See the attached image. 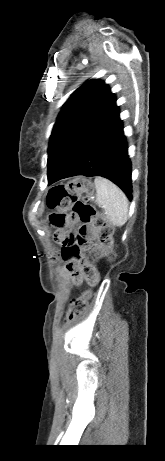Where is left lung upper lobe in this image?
<instances>
[{
    "label": "left lung upper lobe",
    "instance_id": "left-lung-upper-lobe-1",
    "mask_svg": "<svg viewBox=\"0 0 165 461\" xmlns=\"http://www.w3.org/2000/svg\"><path fill=\"white\" fill-rule=\"evenodd\" d=\"M115 101L108 85L99 79L79 87L64 104L48 147V181L80 138Z\"/></svg>",
    "mask_w": 165,
    "mask_h": 461
}]
</instances>
